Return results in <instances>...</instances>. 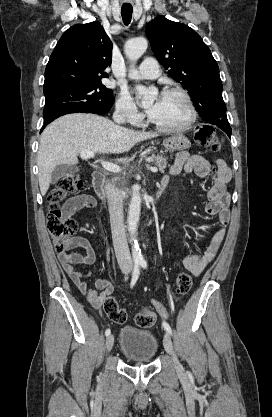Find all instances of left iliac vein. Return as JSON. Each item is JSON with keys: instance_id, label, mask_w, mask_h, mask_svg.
<instances>
[{"instance_id": "1", "label": "left iliac vein", "mask_w": 272, "mask_h": 417, "mask_svg": "<svg viewBox=\"0 0 272 417\" xmlns=\"http://www.w3.org/2000/svg\"><path fill=\"white\" fill-rule=\"evenodd\" d=\"M163 345H164V348L167 351V353L172 356V359L174 361L176 369L178 371H180L182 369V366H181V364L179 363V361L176 357V354H175L174 348H173V344H172V341H171V338H170V335H169L168 332H165V334H164Z\"/></svg>"}]
</instances>
